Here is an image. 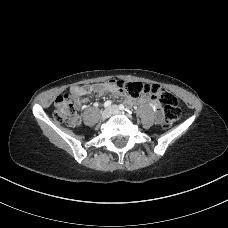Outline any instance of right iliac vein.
Listing matches in <instances>:
<instances>
[{"label": "right iliac vein", "instance_id": "1", "mask_svg": "<svg viewBox=\"0 0 228 228\" xmlns=\"http://www.w3.org/2000/svg\"><path fill=\"white\" fill-rule=\"evenodd\" d=\"M112 115V110L110 108H106L103 112H102V118L103 119H108L110 118V116Z\"/></svg>", "mask_w": 228, "mask_h": 228}]
</instances>
